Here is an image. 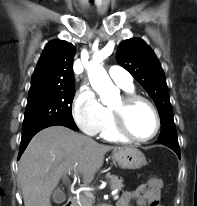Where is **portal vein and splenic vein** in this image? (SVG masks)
Masks as SVG:
<instances>
[{
    "label": "portal vein and splenic vein",
    "instance_id": "obj_1",
    "mask_svg": "<svg viewBox=\"0 0 197 206\" xmlns=\"http://www.w3.org/2000/svg\"><path fill=\"white\" fill-rule=\"evenodd\" d=\"M114 200H117L119 198V195L117 193L114 194Z\"/></svg>",
    "mask_w": 197,
    "mask_h": 206
}]
</instances>
